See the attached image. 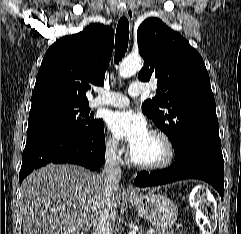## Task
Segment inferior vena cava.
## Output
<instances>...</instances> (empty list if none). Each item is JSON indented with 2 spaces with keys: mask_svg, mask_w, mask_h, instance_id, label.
Here are the masks:
<instances>
[{
  "mask_svg": "<svg viewBox=\"0 0 241 234\" xmlns=\"http://www.w3.org/2000/svg\"><path fill=\"white\" fill-rule=\"evenodd\" d=\"M116 151L117 143L109 144L106 148L104 170L100 175L105 185V201L93 220L92 234H114L116 211L111 197L113 190L121 180V168Z\"/></svg>",
  "mask_w": 241,
  "mask_h": 234,
  "instance_id": "obj_1",
  "label": "inferior vena cava"
}]
</instances>
